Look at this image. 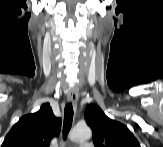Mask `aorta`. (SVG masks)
Masks as SVG:
<instances>
[{
    "instance_id": "obj_1",
    "label": "aorta",
    "mask_w": 163,
    "mask_h": 147,
    "mask_svg": "<svg viewBox=\"0 0 163 147\" xmlns=\"http://www.w3.org/2000/svg\"><path fill=\"white\" fill-rule=\"evenodd\" d=\"M92 136L91 129L86 124L76 125L71 134L70 139L75 142L89 140Z\"/></svg>"
}]
</instances>
